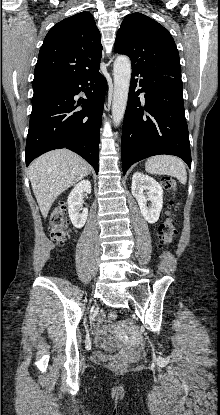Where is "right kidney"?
<instances>
[{
    "mask_svg": "<svg viewBox=\"0 0 220 415\" xmlns=\"http://www.w3.org/2000/svg\"><path fill=\"white\" fill-rule=\"evenodd\" d=\"M84 192L91 193V183L88 180L76 184L67 200L69 218L74 227L78 229L85 225L88 216V209L82 207Z\"/></svg>",
    "mask_w": 220,
    "mask_h": 415,
    "instance_id": "right-kidney-1",
    "label": "right kidney"
}]
</instances>
